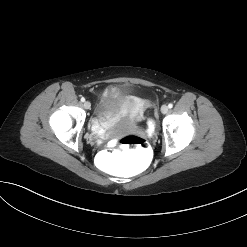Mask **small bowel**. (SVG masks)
<instances>
[{"instance_id":"small-bowel-1","label":"small bowel","mask_w":247,"mask_h":247,"mask_svg":"<svg viewBox=\"0 0 247 247\" xmlns=\"http://www.w3.org/2000/svg\"><path fill=\"white\" fill-rule=\"evenodd\" d=\"M98 134H99V135H103V133H102L101 131H99V130H98Z\"/></svg>"}]
</instances>
